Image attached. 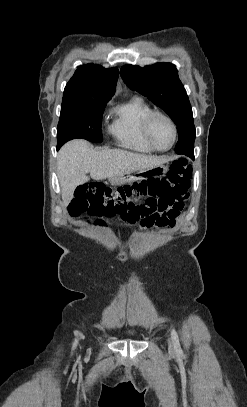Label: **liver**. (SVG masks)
I'll return each instance as SVG.
<instances>
[{"instance_id": "liver-1", "label": "liver", "mask_w": 247, "mask_h": 407, "mask_svg": "<svg viewBox=\"0 0 247 407\" xmlns=\"http://www.w3.org/2000/svg\"><path fill=\"white\" fill-rule=\"evenodd\" d=\"M173 158L147 156L120 149L96 150L85 140L66 143L57 158V175L64 206L73 198L77 186L135 171H144L163 165Z\"/></svg>"}]
</instances>
